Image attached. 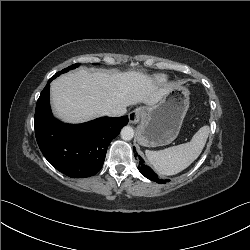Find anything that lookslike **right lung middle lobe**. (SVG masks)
Here are the masks:
<instances>
[{"instance_id": "1", "label": "right lung middle lobe", "mask_w": 250, "mask_h": 250, "mask_svg": "<svg viewBox=\"0 0 250 250\" xmlns=\"http://www.w3.org/2000/svg\"><path fill=\"white\" fill-rule=\"evenodd\" d=\"M79 65H80L79 63L73 64V65L69 66L68 68H65V69H63L62 71L56 73V74L54 75V77H57V76H59L61 73H65V72L69 71L70 69H74V68L78 67Z\"/></svg>"}]
</instances>
